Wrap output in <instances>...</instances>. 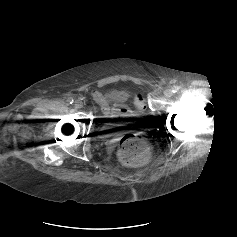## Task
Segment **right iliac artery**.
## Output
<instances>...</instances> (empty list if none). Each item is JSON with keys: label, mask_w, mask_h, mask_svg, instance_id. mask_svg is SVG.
Instances as JSON below:
<instances>
[{"label": "right iliac artery", "mask_w": 237, "mask_h": 237, "mask_svg": "<svg viewBox=\"0 0 237 237\" xmlns=\"http://www.w3.org/2000/svg\"><path fill=\"white\" fill-rule=\"evenodd\" d=\"M67 102H68L69 104H72V103L74 102V100H73V98L69 97V98L67 99Z\"/></svg>", "instance_id": "1"}]
</instances>
